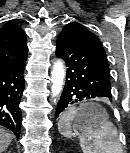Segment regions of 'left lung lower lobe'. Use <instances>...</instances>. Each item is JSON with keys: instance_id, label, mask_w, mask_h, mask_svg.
<instances>
[{"instance_id": "left-lung-lower-lobe-1", "label": "left lung lower lobe", "mask_w": 130, "mask_h": 153, "mask_svg": "<svg viewBox=\"0 0 130 153\" xmlns=\"http://www.w3.org/2000/svg\"><path fill=\"white\" fill-rule=\"evenodd\" d=\"M55 53L68 67L56 118L69 105L84 99L103 97L112 102L107 57L99 47L80 34L61 32Z\"/></svg>"}]
</instances>
